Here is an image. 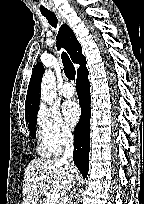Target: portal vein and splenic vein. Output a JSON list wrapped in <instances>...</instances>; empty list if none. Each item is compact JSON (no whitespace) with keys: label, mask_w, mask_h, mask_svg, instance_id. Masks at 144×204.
Returning <instances> with one entry per match:
<instances>
[{"label":"portal vein and splenic vein","mask_w":144,"mask_h":204,"mask_svg":"<svg viewBox=\"0 0 144 204\" xmlns=\"http://www.w3.org/2000/svg\"><path fill=\"white\" fill-rule=\"evenodd\" d=\"M36 180L37 181H39V180H42V181L45 180L46 181L47 178H46V176H39V177H36ZM59 197H60V195H59V193L57 191H50L47 194L46 204H56V201H58Z\"/></svg>","instance_id":"portal-vein-and-splenic-vein-1"}]
</instances>
